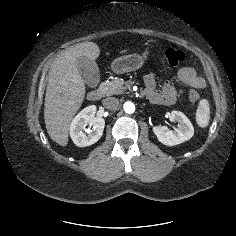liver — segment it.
Listing matches in <instances>:
<instances>
[{"mask_svg": "<svg viewBox=\"0 0 236 236\" xmlns=\"http://www.w3.org/2000/svg\"><path fill=\"white\" fill-rule=\"evenodd\" d=\"M127 52V49L120 53ZM100 49L94 42H82L59 54L50 67L45 94L44 119L50 138L61 146L69 140V126L85 97V84L77 69V58L95 60Z\"/></svg>", "mask_w": 236, "mask_h": 236, "instance_id": "obj_1", "label": "liver"}]
</instances>
